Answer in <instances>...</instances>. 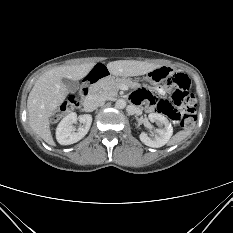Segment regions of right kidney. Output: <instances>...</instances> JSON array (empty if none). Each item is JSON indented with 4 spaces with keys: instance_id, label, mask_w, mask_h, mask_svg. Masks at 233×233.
<instances>
[{
    "instance_id": "ca27d5eb",
    "label": "right kidney",
    "mask_w": 233,
    "mask_h": 233,
    "mask_svg": "<svg viewBox=\"0 0 233 233\" xmlns=\"http://www.w3.org/2000/svg\"><path fill=\"white\" fill-rule=\"evenodd\" d=\"M79 120L83 125L75 132L73 124ZM92 123L90 114L77 116L76 113H69L58 124L56 129V139L61 145H70L81 140L89 131Z\"/></svg>"
}]
</instances>
